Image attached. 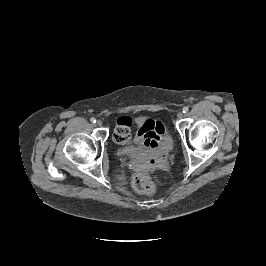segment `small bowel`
Returning <instances> with one entry per match:
<instances>
[{
    "label": "small bowel",
    "instance_id": "obj_1",
    "mask_svg": "<svg viewBox=\"0 0 266 266\" xmlns=\"http://www.w3.org/2000/svg\"><path fill=\"white\" fill-rule=\"evenodd\" d=\"M131 126L132 120L129 117L118 118L114 131L115 141L120 144H127L133 140L145 153L146 168L153 169L157 163L160 142L166 135L165 126L158 120H145L141 123L134 139L131 135ZM134 167L140 169L142 165L135 164Z\"/></svg>",
    "mask_w": 266,
    "mask_h": 266
}]
</instances>
